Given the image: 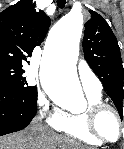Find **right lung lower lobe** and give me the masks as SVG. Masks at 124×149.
Wrapping results in <instances>:
<instances>
[{"mask_svg": "<svg viewBox=\"0 0 124 149\" xmlns=\"http://www.w3.org/2000/svg\"><path fill=\"white\" fill-rule=\"evenodd\" d=\"M36 97L0 83V136L22 130L29 125L37 113Z\"/></svg>", "mask_w": 124, "mask_h": 149, "instance_id": "1", "label": "right lung lower lobe"}]
</instances>
